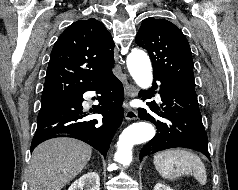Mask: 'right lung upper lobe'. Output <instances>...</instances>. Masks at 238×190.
I'll list each match as a JSON object with an SVG mask.
<instances>
[{
	"label": "right lung upper lobe",
	"mask_w": 238,
	"mask_h": 190,
	"mask_svg": "<svg viewBox=\"0 0 238 190\" xmlns=\"http://www.w3.org/2000/svg\"><path fill=\"white\" fill-rule=\"evenodd\" d=\"M114 42L98 20L71 24L55 43L41 103L70 99L88 85L112 73Z\"/></svg>",
	"instance_id": "cb5924a9"
}]
</instances>
